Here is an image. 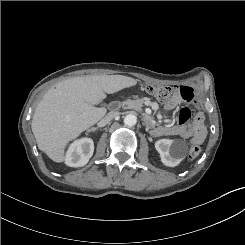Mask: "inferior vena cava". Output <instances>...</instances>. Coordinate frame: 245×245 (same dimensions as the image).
Wrapping results in <instances>:
<instances>
[{
    "label": "inferior vena cava",
    "mask_w": 245,
    "mask_h": 245,
    "mask_svg": "<svg viewBox=\"0 0 245 245\" xmlns=\"http://www.w3.org/2000/svg\"><path fill=\"white\" fill-rule=\"evenodd\" d=\"M116 116H118L117 112H110L108 113L103 119H102V123L103 124H107L109 123L111 120H113Z\"/></svg>",
    "instance_id": "inferior-vena-cava-1"
}]
</instances>
